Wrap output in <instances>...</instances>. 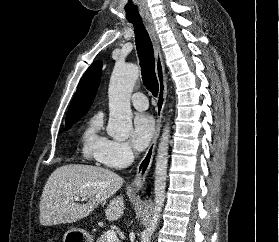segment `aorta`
<instances>
[{
	"instance_id": "1",
	"label": "aorta",
	"mask_w": 279,
	"mask_h": 242,
	"mask_svg": "<svg viewBox=\"0 0 279 242\" xmlns=\"http://www.w3.org/2000/svg\"><path fill=\"white\" fill-rule=\"evenodd\" d=\"M139 69L135 64L117 63L114 67L109 84V121L107 133L118 141L127 140L132 126V111L130 97L133 87L138 79ZM170 128L167 125L160 139L154 180V203L155 208L150 219L149 226L143 231L141 242H150L155 231L165 200L167 180L168 148Z\"/></svg>"
}]
</instances>
